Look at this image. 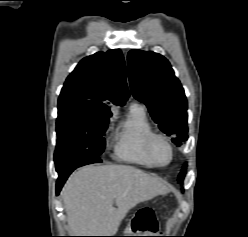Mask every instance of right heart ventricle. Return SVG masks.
<instances>
[{"label":"right heart ventricle","mask_w":248,"mask_h":237,"mask_svg":"<svg viewBox=\"0 0 248 237\" xmlns=\"http://www.w3.org/2000/svg\"><path fill=\"white\" fill-rule=\"evenodd\" d=\"M152 132L144 107L131 105L127 116L116 125L112 134L114 158L142 167H155L145 151V139Z\"/></svg>","instance_id":"e07e8e85"}]
</instances>
